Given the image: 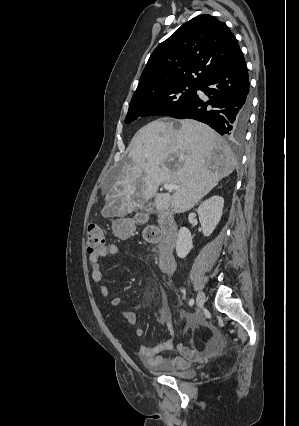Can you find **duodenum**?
Instances as JSON below:
<instances>
[{"label":"duodenum","mask_w":299,"mask_h":426,"mask_svg":"<svg viewBox=\"0 0 299 426\" xmlns=\"http://www.w3.org/2000/svg\"><path fill=\"white\" fill-rule=\"evenodd\" d=\"M159 223L163 231V240L159 246L160 268L165 273H171L175 268L174 247L178 225L170 212H161L159 214Z\"/></svg>","instance_id":"duodenum-1"}]
</instances>
